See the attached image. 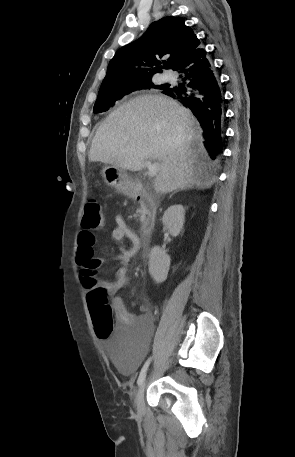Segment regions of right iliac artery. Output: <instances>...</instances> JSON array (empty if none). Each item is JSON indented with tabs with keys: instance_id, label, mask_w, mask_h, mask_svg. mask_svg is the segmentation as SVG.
Masks as SVG:
<instances>
[{
	"instance_id": "right-iliac-artery-1",
	"label": "right iliac artery",
	"mask_w": 295,
	"mask_h": 457,
	"mask_svg": "<svg viewBox=\"0 0 295 457\" xmlns=\"http://www.w3.org/2000/svg\"><path fill=\"white\" fill-rule=\"evenodd\" d=\"M150 361H151V358H149V359L145 362L143 368L141 369L140 375H139L138 380H137V384H138L139 386L142 385V383L144 382V379H145V376H146V371H147V368H148V366H149V364H150Z\"/></svg>"
}]
</instances>
